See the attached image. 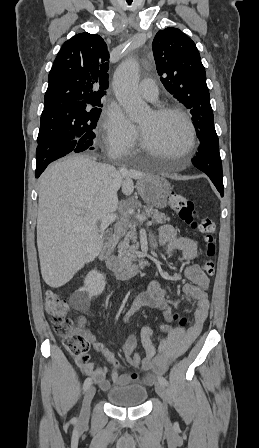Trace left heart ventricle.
Listing matches in <instances>:
<instances>
[{"label":"left heart ventricle","mask_w":259,"mask_h":448,"mask_svg":"<svg viewBox=\"0 0 259 448\" xmlns=\"http://www.w3.org/2000/svg\"><path fill=\"white\" fill-rule=\"evenodd\" d=\"M137 124L144 138L157 149L155 154L180 158L179 148L185 143L188 130L179 116L171 113L155 116L150 111Z\"/></svg>","instance_id":"b2bd125f"}]
</instances>
